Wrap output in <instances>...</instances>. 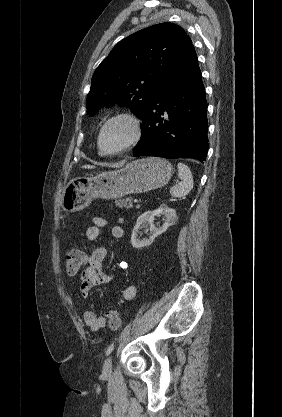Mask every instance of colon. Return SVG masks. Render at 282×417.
I'll use <instances>...</instances> for the list:
<instances>
[{"instance_id":"5ec220e1","label":"colon","mask_w":282,"mask_h":417,"mask_svg":"<svg viewBox=\"0 0 282 417\" xmlns=\"http://www.w3.org/2000/svg\"><path fill=\"white\" fill-rule=\"evenodd\" d=\"M66 270L71 275H76L86 264V256L78 249L69 251L64 259ZM107 324L110 328H117L121 324L117 311L110 310L106 314Z\"/></svg>"}]
</instances>
